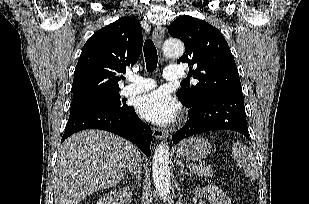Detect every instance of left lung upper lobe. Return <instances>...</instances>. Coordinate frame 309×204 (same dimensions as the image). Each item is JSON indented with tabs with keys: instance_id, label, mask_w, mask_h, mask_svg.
<instances>
[{
	"instance_id": "5c2ea615",
	"label": "left lung upper lobe",
	"mask_w": 309,
	"mask_h": 204,
	"mask_svg": "<svg viewBox=\"0 0 309 204\" xmlns=\"http://www.w3.org/2000/svg\"><path fill=\"white\" fill-rule=\"evenodd\" d=\"M168 32L185 44V54L177 63H188L189 74L199 80L176 93L181 102L192 106L220 94L243 95L234 58L218 29L184 15L169 26Z\"/></svg>"
}]
</instances>
